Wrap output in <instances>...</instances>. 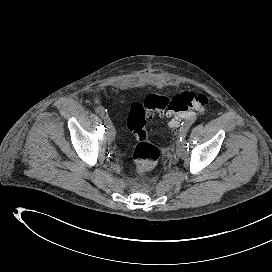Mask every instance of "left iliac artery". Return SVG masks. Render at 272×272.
I'll return each mask as SVG.
<instances>
[{
	"instance_id": "44dca946",
	"label": "left iliac artery",
	"mask_w": 272,
	"mask_h": 272,
	"mask_svg": "<svg viewBox=\"0 0 272 272\" xmlns=\"http://www.w3.org/2000/svg\"><path fill=\"white\" fill-rule=\"evenodd\" d=\"M195 118L189 119L182 123V127L180 128V142H184L185 133H187L189 127L194 123Z\"/></svg>"
}]
</instances>
